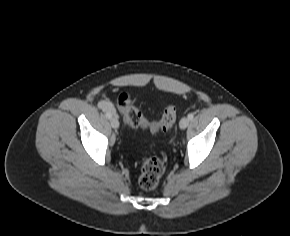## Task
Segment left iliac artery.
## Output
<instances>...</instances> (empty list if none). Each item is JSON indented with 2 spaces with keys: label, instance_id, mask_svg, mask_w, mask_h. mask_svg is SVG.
<instances>
[{
  "label": "left iliac artery",
  "instance_id": "left-iliac-artery-1",
  "mask_svg": "<svg viewBox=\"0 0 290 236\" xmlns=\"http://www.w3.org/2000/svg\"><path fill=\"white\" fill-rule=\"evenodd\" d=\"M193 118H194V114L193 113L188 114V119L189 120H192Z\"/></svg>",
  "mask_w": 290,
  "mask_h": 236
}]
</instances>
